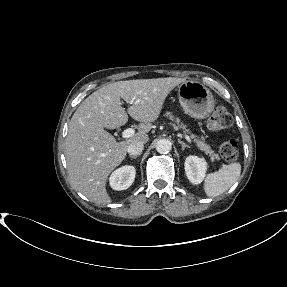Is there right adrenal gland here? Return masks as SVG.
Instances as JSON below:
<instances>
[{"label": "right adrenal gland", "mask_w": 287, "mask_h": 287, "mask_svg": "<svg viewBox=\"0 0 287 287\" xmlns=\"http://www.w3.org/2000/svg\"><path fill=\"white\" fill-rule=\"evenodd\" d=\"M140 155H138V156H129L130 158H132V159H136V158H138Z\"/></svg>", "instance_id": "1"}]
</instances>
